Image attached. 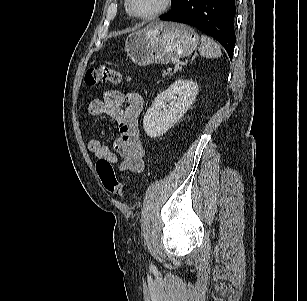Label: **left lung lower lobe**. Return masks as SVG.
Segmentation results:
<instances>
[{
    "label": "left lung lower lobe",
    "mask_w": 307,
    "mask_h": 301,
    "mask_svg": "<svg viewBox=\"0 0 307 301\" xmlns=\"http://www.w3.org/2000/svg\"><path fill=\"white\" fill-rule=\"evenodd\" d=\"M235 0H180L161 20L192 25L212 36L232 59L235 46Z\"/></svg>",
    "instance_id": "1"
}]
</instances>
